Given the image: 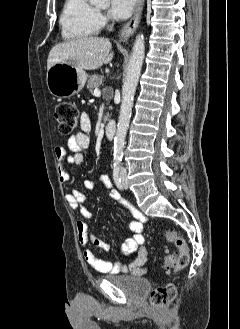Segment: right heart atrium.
<instances>
[{
    "label": "right heart atrium",
    "instance_id": "1",
    "mask_svg": "<svg viewBox=\"0 0 240 329\" xmlns=\"http://www.w3.org/2000/svg\"><path fill=\"white\" fill-rule=\"evenodd\" d=\"M98 20H99L100 26H103L107 23V18L101 13H98Z\"/></svg>",
    "mask_w": 240,
    "mask_h": 329
}]
</instances>
